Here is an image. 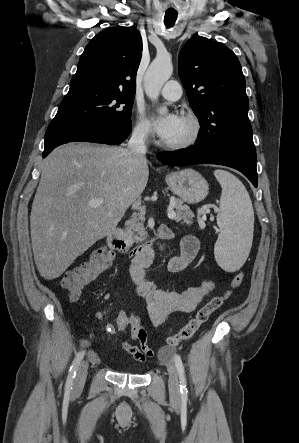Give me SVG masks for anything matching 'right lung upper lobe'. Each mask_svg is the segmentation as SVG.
Wrapping results in <instances>:
<instances>
[{
	"mask_svg": "<svg viewBox=\"0 0 299 443\" xmlns=\"http://www.w3.org/2000/svg\"><path fill=\"white\" fill-rule=\"evenodd\" d=\"M142 39L132 27H111L86 46L70 88H99L134 95Z\"/></svg>",
	"mask_w": 299,
	"mask_h": 443,
	"instance_id": "right-lung-upper-lobe-1",
	"label": "right lung upper lobe"
}]
</instances>
